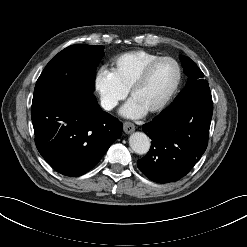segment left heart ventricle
Masks as SVG:
<instances>
[{
    "instance_id": "obj_1",
    "label": "left heart ventricle",
    "mask_w": 247,
    "mask_h": 247,
    "mask_svg": "<svg viewBox=\"0 0 247 247\" xmlns=\"http://www.w3.org/2000/svg\"><path fill=\"white\" fill-rule=\"evenodd\" d=\"M176 68L170 61L158 63L151 71L147 81L133 94L147 110L160 103L169 93L176 80Z\"/></svg>"
}]
</instances>
